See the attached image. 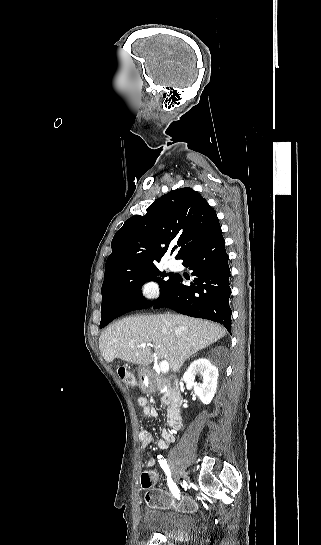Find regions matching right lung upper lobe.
I'll list each match as a JSON object with an SVG mask.
<instances>
[{
    "instance_id": "right-lung-upper-lobe-1",
    "label": "right lung upper lobe",
    "mask_w": 321,
    "mask_h": 545,
    "mask_svg": "<svg viewBox=\"0 0 321 545\" xmlns=\"http://www.w3.org/2000/svg\"><path fill=\"white\" fill-rule=\"evenodd\" d=\"M146 214L129 218L114 235L102 289L114 288L133 273L156 266L177 242L175 259L187 254L220 226L214 209L198 192L185 187L150 205Z\"/></svg>"
}]
</instances>
